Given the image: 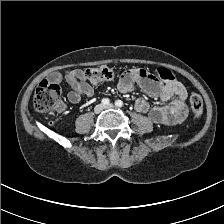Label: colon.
I'll return each mask as SVG.
<instances>
[{
	"instance_id": "1",
	"label": "colon",
	"mask_w": 224,
	"mask_h": 224,
	"mask_svg": "<svg viewBox=\"0 0 224 224\" xmlns=\"http://www.w3.org/2000/svg\"><path fill=\"white\" fill-rule=\"evenodd\" d=\"M157 74L163 81L170 82L174 80L173 73L165 67L158 68ZM84 77L91 83L97 84L113 80L115 72L112 68L106 66L91 67L84 71ZM189 103L193 115L195 118H199L203 112L202 97L197 93H193L190 96ZM33 104L34 108L41 113L62 108L63 103L59 85L48 81L40 82L34 93Z\"/></svg>"
}]
</instances>
